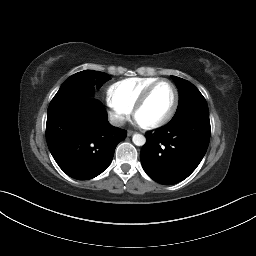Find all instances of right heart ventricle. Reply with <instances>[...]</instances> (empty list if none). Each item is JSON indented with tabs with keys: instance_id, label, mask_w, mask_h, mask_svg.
Listing matches in <instances>:
<instances>
[{
	"instance_id": "right-heart-ventricle-1",
	"label": "right heart ventricle",
	"mask_w": 256,
	"mask_h": 256,
	"mask_svg": "<svg viewBox=\"0 0 256 256\" xmlns=\"http://www.w3.org/2000/svg\"><path fill=\"white\" fill-rule=\"evenodd\" d=\"M158 78H128L112 84L108 91V100L128 109H132L141 93Z\"/></svg>"
}]
</instances>
